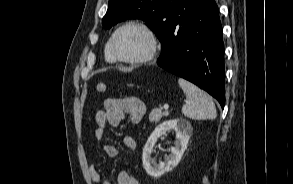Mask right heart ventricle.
I'll return each mask as SVG.
<instances>
[{
  "instance_id": "right-heart-ventricle-1",
  "label": "right heart ventricle",
  "mask_w": 293,
  "mask_h": 184,
  "mask_svg": "<svg viewBox=\"0 0 293 184\" xmlns=\"http://www.w3.org/2000/svg\"><path fill=\"white\" fill-rule=\"evenodd\" d=\"M109 41L106 43L105 48H104V57L108 63H114L116 60L113 58V56L110 52Z\"/></svg>"
}]
</instances>
